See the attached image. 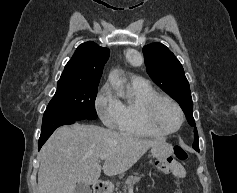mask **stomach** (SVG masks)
<instances>
[{
    "label": "stomach",
    "mask_w": 237,
    "mask_h": 193,
    "mask_svg": "<svg viewBox=\"0 0 237 193\" xmlns=\"http://www.w3.org/2000/svg\"><path fill=\"white\" fill-rule=\"evenodd\" d=\"M172 146L165 141H161L158 144L151 147V154L156 159H164L171 154ZM111 193V191L109 192Z\"/></svg>",
    "instance_id": "1"
}]
</instances>
